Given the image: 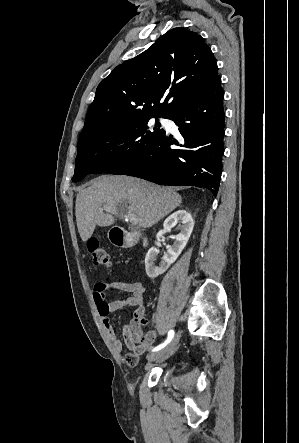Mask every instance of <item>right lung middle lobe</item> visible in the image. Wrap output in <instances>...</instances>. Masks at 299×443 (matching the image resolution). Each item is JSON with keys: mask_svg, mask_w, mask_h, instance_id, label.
Returning a JSON list of instances; mask_svg holds the SVG:
<instances>
[{"mask_svg": "<svg viewBox=\"0 0 299 443\" xmlns=\"http://www.w3.org/2000/svg\"><path fill=\"white\" fill-rule=\"evenodd\" d=\"M150 118L114 123L79 138L72 181L90 173H114L141 158L165 132L158 120L149 127Z\"/></svg>", "mask_w": 299, "mask_h": 443, "instance_id": "obj_1", "label": "right lung middle lobe"}]
</instances>
